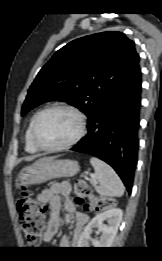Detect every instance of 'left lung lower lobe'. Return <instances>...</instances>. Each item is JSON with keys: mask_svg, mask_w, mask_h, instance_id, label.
<instances>
[{"mask_svg": "<svg viewBox=\"0 0 162 261\" xmlns=\"http://www.w3.org/2000/svg\"><path fill=\"white\" fill-rule=\"evenodd\" d=\"M140 98L141 71L138 68L94 110L88 119L87 135L71 148L108 163L128 192H131L137 163Z\"/></svg>", "mask_w": 162, "mask_h": 261, "instance_id": "left-lung-lower-lobe-1", "label": "left lung lower lobe"}]
</instances>
